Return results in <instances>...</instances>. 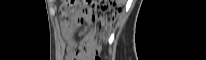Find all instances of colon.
Listing matches in <instances>:
<instances>
[{"label": "colon", "instance_id": "5ec220e1", "mask_svg": "<svg viewBox=\"0 0 206 60\" xmlns=\"http://www.w3.org/2000/svg\"><path fill=\"white\" fill-rule=\"evenodd\" d=\"M87 2V3H86ZM120 10L116 0L80 1L63 0L60 14L64 22L80 19L85 14L98 15V35L86 39L76 50L82 59L101 60L100 38H106L114 24L116 15Z\"/></svg>", "mask_w": 206, "mask_h": 60}]
</instances>
